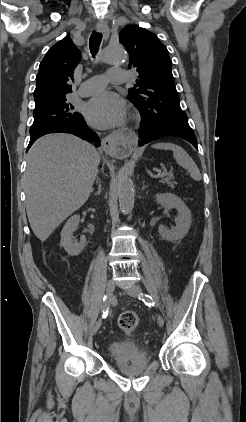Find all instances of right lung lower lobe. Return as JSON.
Masks as SVG:
<instances>
[{
	"label": "right lung lower lobe",
	"instance_id": "right-lung-lower-lobe-1",
	"mask_svg": "<svg viewBox=\"0 0 246 422\" xmlns=\"http://www.w3.org/2000/svg\"><path fill=\"white\" fill-rule=\"evenodd\" d=\"M49 133H70L75 136H78L84 140L95 141L97 147L100 146V140L97 137V134L88 128L84 118L74 121L72 123H59L54 124L48 127H45L41 130L33 132L30 134V142L27 150L32 146V144L41 136Z\"/></svg>",
	"mask_w": 246,
	"mask_h": 422
}]
</instances>
